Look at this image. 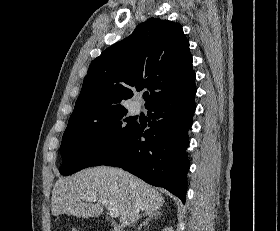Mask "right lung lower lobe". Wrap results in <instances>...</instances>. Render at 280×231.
Wrapping results in <instances>:
<instances>
[{
  "label": "right lung lower lobe",
  "mask_w": 280,
  "mask_h": 231,
  "mask_svg": "<svg viewBox=\"0 0 280 231\" xmlns=\"http://www.w3.org/2000/svg\"><path fill=\"white\" fill-rule=\"evenodd\" d=\"M195 94L192 86L151 104L146 108L150 129L144 132L136 125L102 165L121 167L151 185L164 187L184 203Z\"/></svg>",
  "instance_id": "98d812e1"
}]
</instances>
